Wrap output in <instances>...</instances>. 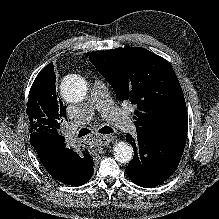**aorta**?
<instances>
[{
	"label": "aorta",
	"mask_w": 219,
	"mask_h": 219,
	"mask_svg": "<svg viewBox=\"0 0 219 219\" xmlns=\"http://www.w3.org/2000/svg\"><path fill=\"white\" fill-rule=\"evenodd\" d=\"M60 89L62 97L71 103L82 101L87 94L86 81L76 75L64 78ZM113 155L117 162L129 163L133 158V148L129 143L121 141L115 144Z\"/></svg>",
	"instance_id": "obj_1"
}]
</instances>
